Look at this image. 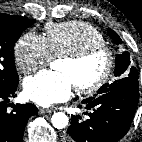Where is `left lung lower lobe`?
Segmentation results:
<instances>
[{
  "label": "left lung lower lobe",
  "instance_id": "0a47b994",
  "mask_svg": "<svg viewBox=\"0 0 142 142\" xmlns=\"http://www.w3.org/2000/svg\"><path fill=\"white\" fill-rule=\"evenodd\" d=\"M139 86L128 85L82 101L85 121L72 115L65 142H117L129 130L139 102ZM81 107V106H79ZM80 119V117H78Z\"/></svg>",
  "mask_w": 142,
  "mask_h": 142
}]
</instances>
